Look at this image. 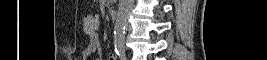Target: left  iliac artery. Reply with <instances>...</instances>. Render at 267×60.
Here are the masks:
<instances>
[{
    "label": "left iliac artery",
    "instance_id": "1",
    "mask_svg": "<svg viewBox=\"0 0 267 60\" xmlns=\"http://www.w3.org/2000/svg\"><path fill=\"white\" fill-rule=\"evenodd\" d=\"M119 58H120V60H126V55L125 54H120Z\"/></svg>",
    "mask_w": 267,
    "mask_h": 60
}]
</instances>
